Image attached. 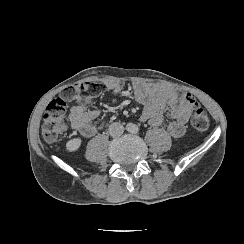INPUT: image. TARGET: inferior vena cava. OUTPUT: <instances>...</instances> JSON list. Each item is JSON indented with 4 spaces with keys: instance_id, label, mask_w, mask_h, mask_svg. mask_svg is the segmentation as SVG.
Listing matches in <instances>:
<instances>
[{
    "instance_id": "inferior-vena-cava-1",
    "label": "inferior vena cava",
    "mask_w": 244,
    "mask_h": 244,
    "mask_svg": "<svg viewBox=\"0 0 244 244\" xmlns=\"http://www.w3.org/2000/svg\"><path fill=\"white\" fill-rule=\"evenodd\" d=\"M123 132H124V127L120 123L115 122L109 126V134L112 137H119L123 134Z\"/></svg>"
}]
</instances>
